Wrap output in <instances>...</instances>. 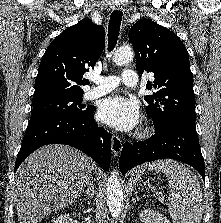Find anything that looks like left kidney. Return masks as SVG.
I'll use <instances>...</instances> for the list:
<instances>
[{"mask_svg": "<svg viewBox=\"0 0 221 223\" xmlns=\"http://www.w3.org/2000/svg\"><path fill=\"white\" fill-rule=\"evenodd\" d=\"M139 218L142 223H170L167 217L154 210H143Z\"/></svg>", "mask_w": 221, "mask_h": 223, "instance_id": "obj_1", "label": "left kidney"}]
</instances>
